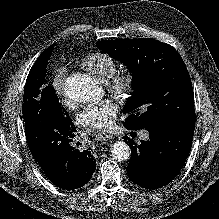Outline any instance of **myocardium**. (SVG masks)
I'll use <instances>...</instances> for the list:
<instances>
[{
  "instance_id": "myocardium-1",
  "label": "myocardium",
  "mask_w": 219,
  "mask_h": 219,
  "mask_svg": "<svg viewBox=\"0 0 219 219\" xmlns=\"http://www.w3.org/2000/svg\"><path fill=\"white\" fill-rule=\"evenodd\" d=\"M137 76L131 69H126L114 74L106 81L107 90L121 101L127 100L136 86Z\"/></svg>"
}]
</instances>
